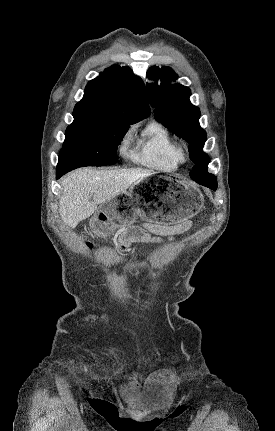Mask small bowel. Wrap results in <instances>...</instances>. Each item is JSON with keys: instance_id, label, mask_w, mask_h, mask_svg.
<instances>
[{"instance_id": "c3829d8e", "label": "small bowel", "mask_w": 275, "mask_h": 431, "mask_svg": "<svg viewBox=\"0 0 275 431\" xmlns=\"http://www.w3.org/2000/svg\"><path fill=\"white\" fill-rule=\"evenodd\" d=\"M191 222L185 221L174 225L146 224L144 229L132 228L123 233L119 239L120 251H125L133 242H159L164 238L172 239L186 232Z\"/></svg>"}]
</instances>
